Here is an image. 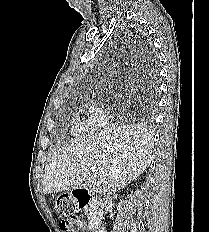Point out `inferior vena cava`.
<instances>
[{
  "instance_id": "602c4592",
  "label": "inferior vena cava",
  "mask_w": 209,
  "mask_h": 232,
  "mask_svg": "<svg viewBox=\"0 0 209 232\" xmlns=\"http://www.w3.org/2000/svg\"><path fill=\"white\" fill-rule=\"evenodd\" d=\"M101 232H104V227L102 228V231Z\"/></svg>"
}]
</instances>
